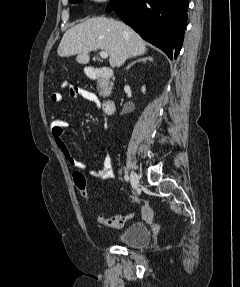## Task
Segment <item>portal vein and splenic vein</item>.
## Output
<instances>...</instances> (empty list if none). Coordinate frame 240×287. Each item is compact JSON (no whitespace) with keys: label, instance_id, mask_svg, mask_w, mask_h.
<instances>
[{"label":"portal vein and splenic vein","instance_id":"obj_1","mask_svg":"<svg viewBox=\"0 0 240 287\" xmlns=\"http://www.w3.org/2000/svg\"><path fill=\"white\" fill-rule=\"evenodd\" d=\"M100 56L103 58V59H106L108 58V53L106 51H100Z\"/></svg>","mask_w":240,"mask_h":287}]
</instances>
